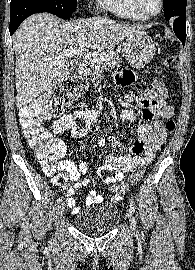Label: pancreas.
Segmentation results:
<instances>
[{"label": "pancreas", "mask_w": 195, "mask_h": 270, "mask_svg": "<svg viewBox=\"0 0 195 270\" xmlns=\"http://www.w3.org/2000/svg\"><path fill=\"white\" fill-rule=\"evenodd\" d=\"M105 54L104 60L100 58V55L96 57H90L85 63L84 75L91 76L93 78L99 77L101 73L110 67H120L122 58L114 51L100 52L98 54Z\"/></svg>", "instance_id": "pancreas-1"}]
</instances>
